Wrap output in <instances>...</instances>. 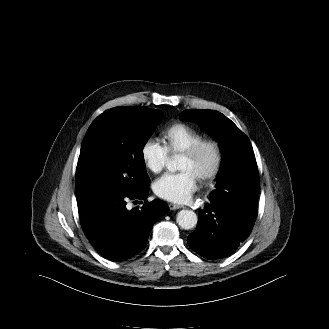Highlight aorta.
<instances>
[{"label":"aorta","mask_w":329,"mask_h":329,"mask_svg":"<svg viewBox=\"0 0 329 329\" xmlns=\"http://www.w3.org/2000/svg\"><path fill=\"white\" fill-rule=\"evenodd\" d=\"M166 166L171 172H175L179 169L177 160L168 162ZM176 221L182 229L189 230L196 226L198 218L196 213L192 210H181L177 214Z\"/></svg>","instance_id":"762f6f07"}]
</instances>
